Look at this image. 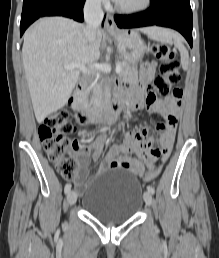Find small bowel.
<instances>
[{
  "mask_svg": "<svg viewBox=\"0 0 219 258\" xmlns=\"http://www.w3.org/2000/svg\"><path fill=\"white\" fill-rule=\"evenodd\" d=\"M156 69L157 64L154 61L143 63L139 85L126 89L120 88L119 94L128 100L132 110L143 106L142 87L154 77ZM149 98H151L150 102L148 101ZM180 106V98L174 95L159 100L153 94H149L147 107L158 112L163 118V121L156 126L157 130L161 132L158 137L159 146L155 147L153 141L146 137L147 129L145 127L138 131H127L124 134L123 143L113 145L110 148L105 160L100 165V172L120 168L129 170L141 178L146 177L144 173L147 170H145L144 165L147 168H153L154 162L159 161L158 157L165 161L171 153ZM126 116H130V112H127ZM105 141L106 137L101 135L87 144L76 143L80 168L73 178V182L78 192L88 184L89 163L91 160L94 162L99 160ZM137 157L141 158L143 163Z\"/></svg>",
  "mask_w": 219,
  "mask_h": 258,
  "instance_id": "obj_1",
  "label": "small bowel"
}]
</instances>
